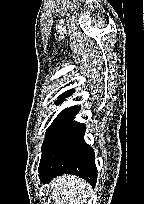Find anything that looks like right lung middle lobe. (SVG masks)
Masks as SVG:
<instances>
[{
    "label": "right lung middle lobe",
    "instance_id": "right-lung-middle-lobe-1",
    "mask_svg": "<svg viewBox=\"0 0 144 204\" xmlns=\"http://www.w3.org/2000/svg\"><path fill=\"white\" fill-rule=\"evenodd\" d=\"M61 102H63V99L58 100L56 105L60 104ZM69 108L64 109L56 118L55 120L52 122V124L50 125V127L48 128V131L46 133V138L44 140L43 146H42V150L45 148L46 144L48 143V141L52 138V136L54 135L58 124L60 123L61 118L63 117V115L67 112Z\"/></svg>",
    "mask_w": 144,
    "mask_h": 204
}]
</instances>
